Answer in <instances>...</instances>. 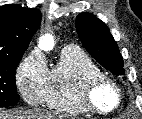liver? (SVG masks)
<instances>
[{
	"label": "liver",
	"instance_id": "1",
	"mask_svg": "<svg viewBox=\"0 0 142 119\" xmlns=\"http://www.w3.org/2000/svg\"><path fill=\"white\" fill-rule=\"evenodd\" d=\"M0 119H68V116L46 110L17 111L13 114L0 113Z\"/></svg>",
	"mask_w": 142,
	"mask_h": 119
}]
</instances>
